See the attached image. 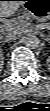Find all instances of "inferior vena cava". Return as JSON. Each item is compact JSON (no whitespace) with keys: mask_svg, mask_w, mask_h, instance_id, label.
I'll list each match as a JSON object with an SVG mask.
<instances>
[{"mask_svg":"<svg viewBox=\"0 0 50 111\" xmlns=\"http://www.w3.org/2000/svg\"><path fill=\"white\" fill-rule=\"evenodd\" d=\"M20 36H21V33L19 30H11L4 34V41L11 42V41L17 40Z\"/></svg>","mask_w":50,"mask_h":111,"instance_id":"602c4592","label":"inferior vena cava"}]
</instances>
